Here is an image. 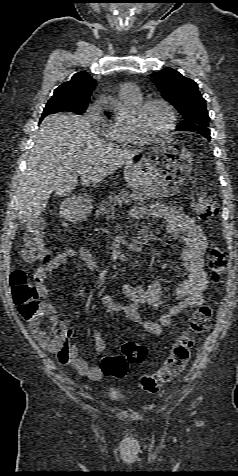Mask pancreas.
I'll use <instances>...</instances> for the list:
<instances>
[{
  "instance_id": "obj_1",
  "label": "pancreas",
  "mask_w": 238,
  "mask_h": 476,
  "mask_svg": "<svg viewBox=\"0 0 238 476\" xmlns=\"http://www.w3.org/2000/svg\"><path fill=\"white\" fill-rule=\"evenodd\" d=\"M145 198L138 193L121 192L107 197L102 201L98 209L95 211L96 218L100 219L102 216L114 213L116 206L131 205L133 203H143Z\"/></svg>"
}]
</instances>
